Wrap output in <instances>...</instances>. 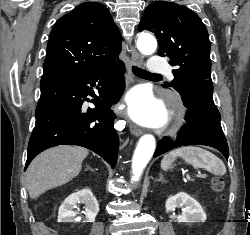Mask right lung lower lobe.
<instances>
[{
	"mask_svg": "<svg viewBox=\"0 0 250 235\" xmlns=\"http://www.w3.org/2000/svg\"><path fill=\"white\" fill-rule=\"evenodd\" d=\"M124 73L123 62L110 60L74 77L41 83L25 170L40 152L63 144L86 147L115 168L119 139L110 107L124 90ZM88 95L95 97L93 109L83 105Z\"/></svg>",
	"mask_w": 250,
	"mask_h": 235,
	"instance_id": "1",
	"label": "right lung lower lobe"
}]
</instances>
